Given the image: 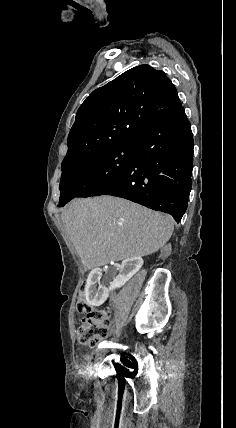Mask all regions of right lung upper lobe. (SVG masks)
<instances>
[{
	"label": "right lung upper lobe",
	"instance_id": "cb5924a9",
	"mask_svg": "<svg viewBox=\"0 0 236 428\" xmlns=\"http://www.w3.org/2000/svg\"><path fill=\"white\" fill-rule=\"evenodd\" d=\"M161 70L134 67L94 90L77 111L62 169L119 142L136 139L181 107Z\"/></svg>",
	"mask_w": 236,
	"mask_h": 428
}]
</instances>
